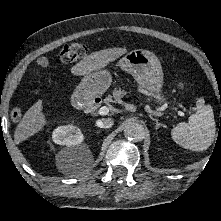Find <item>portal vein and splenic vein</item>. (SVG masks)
I'll return each mask as SVG.
<instances>
[{
	"label": "portal vein and splenic vein",
	"instance_id": "portal-vein-and-splenic-vein-1",
	"mask_svg": "<svg viewBox=\"0 0 221 221\" xmlns=\"http://www.w3.org/2000/svg\"><path fill=\"white\" fill-rule=\"evenodd\" d=\"M109 113V108L107 106H102L99 110H98V114L101 116H105ZM178 115L180 116H185V113L182 111H178Z\"/></svg>",
	"mask_w": 221,
	"mask_h": 221
}]
</instances>
